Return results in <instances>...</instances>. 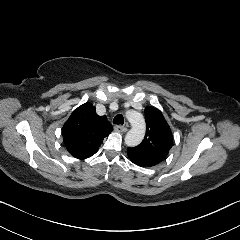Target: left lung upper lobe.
Masks as SVG:
<instances>
[{
	"mask_svg": "<svg viewBox=\"0 0 240 240\" xmlns=\"http://www.w3.org/2000/svg\"><path fill=\"white\" fill-rule=\"evenodd\" d=\"M146 134L127 154L136 165L150 167L160 163L172 147V133L162 113L153 107L145 108Z\"/></svg>",
	"mask_w": 240,
	"mask_h": 240,
	"instance_id": "obj_1",
	"label": "left lung upper lobe"
}]
</instances>
